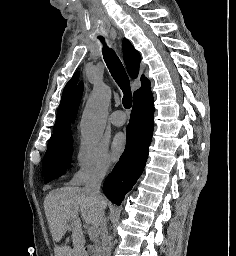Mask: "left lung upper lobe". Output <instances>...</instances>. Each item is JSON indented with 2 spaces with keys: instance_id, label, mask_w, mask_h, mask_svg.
<instances>
[{
  "instance_id": "5c2ea615",
  "label": "left lung upper lobe",
  "mask_w": 236,
  "mask_h": 256,
  "mask_svg": "<svg viewBox=\"0 0 236 256\" xmlns=\"http://www.w3.org/2000/svg\"><path fill=\"white\" fill-rule=\"evenodd\" d=\"M82 93H83V83H80V85H79V87L76 91L74 101H73V105H72V121L73 122H74V120L76 118V115H77V111H78V107H79V104H80Z\"/></svg>"
}]
</instances>
